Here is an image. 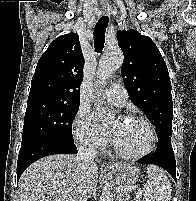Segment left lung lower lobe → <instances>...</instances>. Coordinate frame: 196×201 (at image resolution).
I'll list each match as a JSON object with an SVG mask.
<instances>
[{
    "mask_svg": "<svg viewBox=\"0 0 196 201\" xmlns=\"http://www.w3.org/2000/svg\"><path fill=\"white\" fill-rule=\"evenodd\" d=\"M142 164H153L168 171L176 181V161L171 145V137L158 140L157 149L139 160Z\"/></svg>",
    "mask_w": 196,
    "mask_h": 201,
    "instance_id": "left-lung-lower-lobe-1",
    "label": "left lung lower lobe"
}]
</instances>
